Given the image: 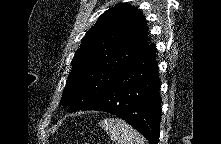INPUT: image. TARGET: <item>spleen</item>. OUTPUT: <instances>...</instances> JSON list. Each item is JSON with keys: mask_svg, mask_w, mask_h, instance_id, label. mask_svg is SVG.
I'll use <instances>...</instances> for the list:
<instances>
[{"mask_svg": "<svg viewBox=\"0 0 221 144\" xmlns=\"http://www.w3.org/2000/svg\"><path fill=\"white\" fill-rule=\"evenodd\" d=\"M99 124L116 144H145L142 135L122 119L105 118Z\"/></svg>", "mask_w": 221, "mask_h": 144, "instance_id": "3e777b00", "label": "spleen"}]
</instances>
